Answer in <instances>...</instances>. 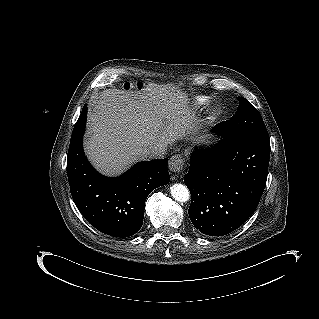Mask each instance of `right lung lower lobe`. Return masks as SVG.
<instances>
[{
    "instance_id": "obj_1",
    "label": "right lung lower lobe",
    "mask_w": 319,
    "mask_h": 319,
    "mask_svg": "<svg viewBox=\"0 0 319 319\" xmlns=\"http://www.w3.org/2000/svg\"><path fill=\"white\" fill-rule=\"evenodd\" d=\"M87 107L72 132L67 174L73 200L97 230L114 237H129L141 228L145 201L151 191L170 181L168 159L137 163L118 178L99 174L87 161L82 145Z\"/></svg>"
}]
</instances>
